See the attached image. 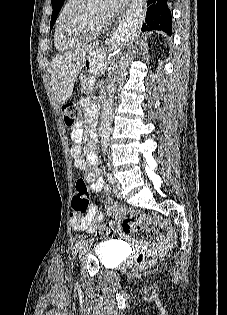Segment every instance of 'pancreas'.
I'll use <instances>...</instances> for the list:
<instances>
[{
	"mask_svg": "<svg viewBox=\"0 0 227 315\" xmlns=\"http://www.w3.org/2000/svg\"><path fill=\"white\" fill-rule=\"evenodd\" d=\"M94 78L93 76H90V75H82L80 77V82H81V90H82V93L86 94V95H89L90 93L93 92V88H94V85L91 86L89 84V81Z\"/></svg>",
	"mask_w": 227,
	"mask_h": 315,
	"instance_id": "obj_1",
	"label": "pancreas"
}]
</instances>
